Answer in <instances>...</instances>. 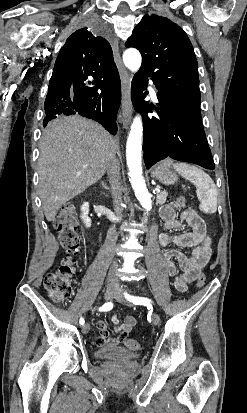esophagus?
<instances>
[{"label": "esophagus", "mask_w": 247, "mask_h": 413, "mask_svg": "<svg viewBox=\"0 0 247 413\" xmlns=\"http://www.w3.org/2000/svg\"><path fill=\"white\" fill-rule=\"evenodd\" d=\"M111 46H112V50L114 54V60L119 70V74L121 78V88H122L121 120H122L123 128L127 129L131 122L132 114H133V107H132V101H131V96H130L131 80L121 60L118 40L114 39L111 42Z\"/></svg>", "instance_id": "34e87169"}]
</instances>
